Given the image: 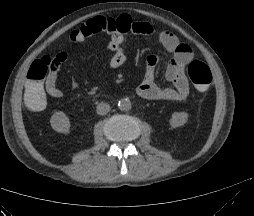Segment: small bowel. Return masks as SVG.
I'll list each match as a JSON object with an SVG mask.
<instances>
[{"label":"small bowel","mask_w":254,"mask_h":216,"mask_svg":"<svg viewBox=\"0 0 254 216\" xmlns=\"http://www.w3.org/2000/svg\"><path fill=\"white\" fill-rule=\"evenodd\" d=\"M99 32L108 33L110 39L103 46L111 51L110 67L118 69L126 61L123 49L125 34L132 33L142 36H154L158 38L164 49L172 55L165 69V78L172 83V87H160L155 83V73L159 58L155 54L147 57L145 75L143 81L137 87V94L147 100H185L189 95V82L185 75V66L193 58L192 47L181 42L176 35L167 30H159L149 22L134 21L128 16H121L117 19L98 17L90 20L73 30L69 34V40L75 43H82L91 35ZM61 62L68 57L66 52L58 54ZM58 70L48 72L45 79V90L53 98L63 96V91L57 85ZM78 85L77 79L72 78V86Z\"/></svg>","instance_id":"1"}]
</instances>
